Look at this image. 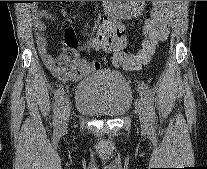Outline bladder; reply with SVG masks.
<instances>
[{
	"label": "bladder",
	"mask_w": 207,
	"mask_h": 169,
	"mask_svg": "<svg viewBox=\"0 0 207 169\" xmlns=\"http://www.w3.org/2000/svg\"><path fill=\"white\" fill-rule=\"evenodd\" d=\"M133 100L131 86L117 73L103 70L80 81L75 107L83 114L116 118L125 114Z\"/></svg>",
	"instance_id": "31cf9c89"
}]
</instances>
